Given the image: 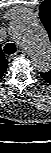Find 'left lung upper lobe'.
<instances>
[{
    "label": "left lung upper lobe",
    "mask_w": 51,
    "mask_h": 153,
    "mask_svg": "<svg viewBox=\"0 0 51 153\" xmlns=\"http://www.w3.org/2000/svg\"><path fill=\"white\" fill-rule=\"evenodd\" d=\"M39 17L42 21L44 27L51 40V0H44L40 5ZM41 77L46 81L51 83V70L48 72L40 73Z\"/></svg>",
    "instance_id": "left-lung-upper-lobe-1"
}]
</instances>
